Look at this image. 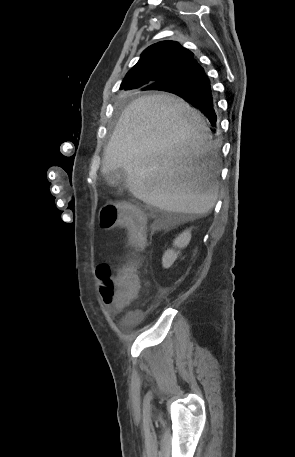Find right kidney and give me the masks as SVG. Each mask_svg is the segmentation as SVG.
Masks as SVG:
<instances>
[{"label": "right kidney", "instance_id": "1", "mask_svg": "<svg viewBox=\"0 0 295 457\" xmlns=\"http://www.w3.org/2000/svg\"><path fill=\"white\" fill-rule=\"evenodd\" d=\"M191 239V233L189 230L184 231L180 234L173 242V245L178 248H185ZM179 252H175L173 249L167 250L162 258V264L164 268H169L174 261L177 259Z\"/></svg>", "mask_w": 295, "mask_h": 457}]
</instances>
